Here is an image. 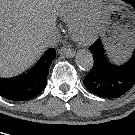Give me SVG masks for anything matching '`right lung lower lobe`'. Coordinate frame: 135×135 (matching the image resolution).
<instances>
[{"mask_svg": "<svg viewBox=\"0 0 135 135\" xmlns=\"http://www.w3.org/2000/svg\"><path fill=\"white\" fill-rule=\"evenodd\" d=\"M56 57L53 48L26 74L15 79H0V95L12 101H26L40 94L46 86L49 66Z\"/></svg>", "mask_w": 135, "mask_h": 135, "instance_id": "right-lung-lower-lobe-1", "label": "right lung lower lobe"}]
</instances>
